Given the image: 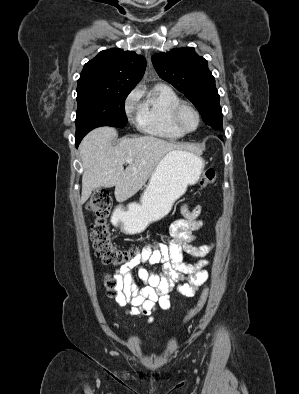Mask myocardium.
<instances>
[{"instance_id":"obj_1","label":"myocardium","mask_w":299,"mask_h":394,"mask_svg":"<svg viewBox=\"0 0 299 394\" xmlns=\"http://www.w3.org/2000/svg\"><path fill=\"white\" fill-rule=\"evenodd\" d=\"M186 108H187V109H190V110L196 115V118H197V125H196V127H195L194 129H192V130L186 129V128L182 125V123H181V114H182V111H183L184 109H186ZM172 122H173L174 126H175L179 131H181L183 134L193 133V132H195V131L200 127V124H201V115H200V112L198 111V109H197L194 105H192L191 103L186 102V101H180V102L173 108V111H172Z\"/></svg>"}]
</instances>
